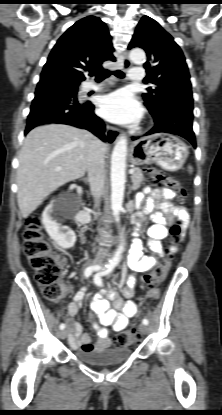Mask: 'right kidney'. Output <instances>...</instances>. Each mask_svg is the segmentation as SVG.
I'll use <instances>...</instances> for the list:
<instances>
[{
    "mask_svg": "<svg viewBox=\"0 0 222 415\" xmlns=\"http://www.w3.org/2000/svg\"><path fill=\"white\" fill-rule=\"evenodd\" d=\"M56 205H48L42 214V224L44 225L48 235L63 248H72L76 242V235L68 226L58 223L56 218Z\"/></svg>",
    "mask_w": 222,
    "mask_h": 415,
    "instance_id": "right-kidney-1",
    "label": "right kidney"
}]
</instances>
